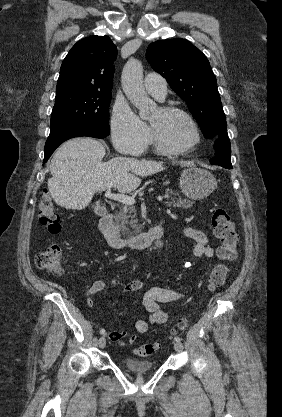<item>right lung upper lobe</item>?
Returning a JSON list of instances; mask_svg holds the SVG:
<instances>
[{
	"label": "right lung upper lobe",
	"mask_w": 282,
	"mask_h": 417,
	"mask_svg": "<svg viewBox=\"0 0 282 417\" xmlns=\"http://www.w3.org/2000/svg\"><path fill=\"white\" fill-rule=\"evenodd\" d=\"M117 48L108 36L78 41L63 60L56 93L71 90H112Z\"/></svg>",
	"instance_id": "right-lung-upper-lobe-1"
}]
</instances>
